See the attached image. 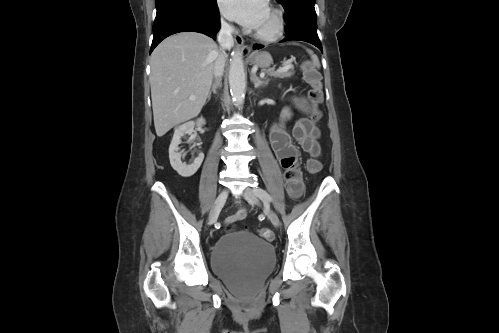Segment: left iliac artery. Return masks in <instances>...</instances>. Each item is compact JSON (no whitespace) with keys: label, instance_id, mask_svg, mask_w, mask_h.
<instances>
[{"label":"left iliac artery","instance_id":"44dca946","mask_svg":"<svg viewBox=\"0 0 499 333\" xmlns=\"http://www.w3.org/2000/svg\"><path fill=\"white\" fill-rule=\"evenodd\" d=\"M254 192L263 202H272V197L264 189L254 188Z\"/></svg>","mask_w":499,"mask_h":333}]
</instances>
